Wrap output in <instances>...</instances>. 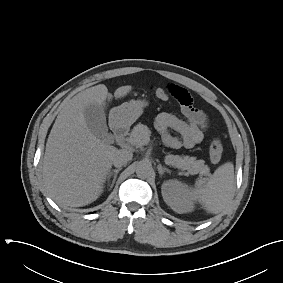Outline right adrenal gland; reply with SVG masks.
<instances>
[{"label": "right adrenal gland", "mask_w": 283, "mask_h": 283, "mask_svg": "<svg viewBox=\"0 0 283 283\" xmlns=\"http://www.w3.org/2000/svg\"><path fill=\"white\" fill-rule=\"evenodd\" d=\"M121 171V168H118V169H114V170H111L109 173H108V176H107V182L109 183L110 182V179L111 177L113 176V180H112V184L110 186V189L113 188L114 184H115V181H116V178H117V174Z\"/></svg>", "instance_id": "2a0ac1e0"}]
</instances>
